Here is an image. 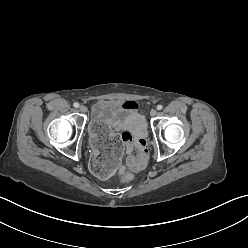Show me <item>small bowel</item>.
Wrapping results in <instances>:
<instances>
[{
  "label": "small bowel",
  "instance_id": "c3829d8e",
  "mask_svg": "<svg viewBox=\"0 0 248 248\" xmlns=\"http://www.w3.org/2000/svg\"><path fill=\"white\" fill-rule=\"evenodd\" d=\"M114 106H122L129 116L120 123L105 122L108 127L122 130L121 140L125 146L126 168L133 172L140 171L148 158V144L145 139V121L137 112L138 105L135 101L127 100L122 104L110 101ZM134 151L137 152L134 155ZM124 169V167H122Z\"/></svg>",
  "mask_w": 248,
  "mask_h": 248
}]
</instances>
